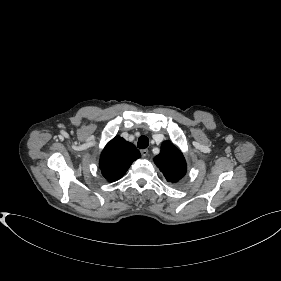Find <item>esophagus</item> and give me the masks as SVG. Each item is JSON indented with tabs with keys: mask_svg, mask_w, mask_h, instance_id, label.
I'll use <instances>...</instances> for the list:
<instances>
[{
	"mask_svg": "<svg viewBox=\"0 0 281 281\" xmlns=\"http://www.w3.org/2000/svg\"><path fill=\"white\" fill-rule=\"evenodd\" d=\"M141 155H142V157H146L147 155H148V149H142L141 151Z\"/></svg>",
	"mask_w": 281,
	"mask_h": 281,
	"instance_id": "34e87169",
	"label": "esophagus"
}]
</instances>
